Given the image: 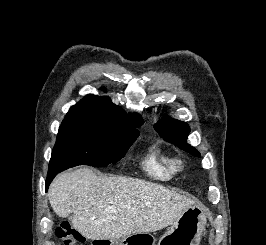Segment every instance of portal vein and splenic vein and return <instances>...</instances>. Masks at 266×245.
<instances>
[{
  "label": "portal vein and splenic vein",
  "mask_w": 266,
  "mask_h": 245,
  "mask_svg": "<svg viewBox=\"0 0 266 245\" xmlns=\"http://www.w3.org/2000/svg\"><path fill=\"white\" fill-rule=\"evenodd\" d=\"M105 213H116L115 209H108V211H106L105 209Z\"/></svg>",
  "instance_id": "obj_1"
}]
</instances>
